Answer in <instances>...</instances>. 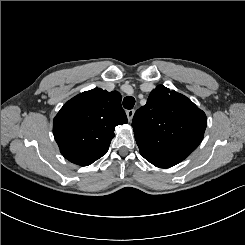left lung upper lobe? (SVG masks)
<instances>
[{"mask_svg": "<svg viewBox=\"0 0 245 245\" xmlns=\"http://www.w3.org/2000/svg\"><path fill=\"white\" fill-rule=\"evenodd\" d=\"M207 119L186 96L157 86L132 121L140 154L148 161L168 155L182 161L203 139Z\"/></svg>", "mask_w": 245, "mask_h": 245, "instance_id": "1", "label": "left lung upper lobe"}]
</instances>
